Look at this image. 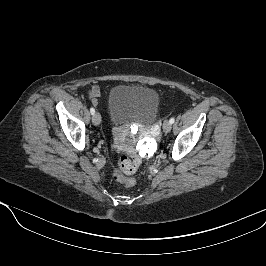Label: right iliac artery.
I'll return each instance as SVG.
<instances>
[{
	"label": "right iliac artery",
	"instance_id": "obj_1",
	"mask_svg": "<svg viewBox=\"0 0 266 266\" xmlns=\"http://www.w3.org/2000/svg\"><path fill=\"white\" fill-rule=\"evenodd\" d=\"M90 113L93 115L95 113V109L93 107L90 108Z\"/></svg>",
	"mask_w": 266,
	"mask_h": 266
}]
</instances>
